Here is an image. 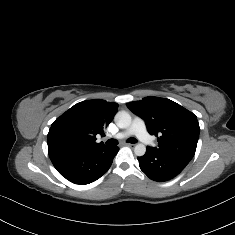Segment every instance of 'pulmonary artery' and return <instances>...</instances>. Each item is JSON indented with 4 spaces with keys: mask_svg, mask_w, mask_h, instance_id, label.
Wrapping results in <instances>:
<instances>
[{
    "mask_svg": "<svg viewBox=\"0 0 235 235\" xmlns=\"http://www.w3.org/2000/svg\"><path fill=\"white\" fill-rule=\"evenodd\" d=\"M131 135L137 136L139 140L143 143L148 142L151 138L150 133L146 130V125L144 121L140 118H135L132 121L131 125L125 131L109 135V137L123 139Z\"/></svg>",
    "mask_w": 235,
    "mask_h": 235,
    "instance_id": "e3ab8cb5",
    "label": "pulmonary artery"
}]
</instances>
